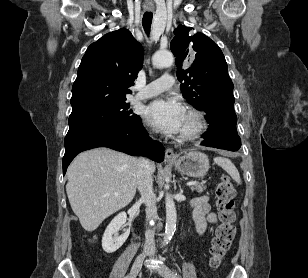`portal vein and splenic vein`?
<instances>
[{
	"label": "portal vein and splenic vein",
	"mask_w": 308,
	"mask_h": 278,
	"mask_svg": "<svg viewBox=\"0 0 308 278\" xmlns=\"http://www.w3.org/2000/svg\"><path fill=\"white\" fill-rule=\"evenodd\" d=\"M197 184H198L197 182L191 181V182L187 183V186H194V185H197Z\"/></svg>",
	"instance_id": "portal-vein-and-splenic-vein-1"
}]
</instances>
